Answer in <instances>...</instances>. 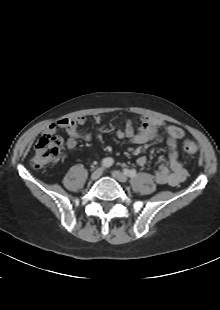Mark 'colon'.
Listing matches in <instances>:
<instances>
[{
	"label": "colon",
	"mask_w": 220,
	"mask_h": 310,
	"mask_svg": "<svg viewBox=\"0 0 220 310\" xmlns=\"http://www.w3.org/2000/svg\"><path fill=\"white\" fill-rule=\"evenodd\" d=\"M62 139L59 136L45 134L38 139L34 148L31 165L34 168H43L58 161L61 153ZM182 148L188 155L198 152L197 144L192 140H185Z\"/></svg>",
	"instance_id": "colon-1"
}]
</instances>
